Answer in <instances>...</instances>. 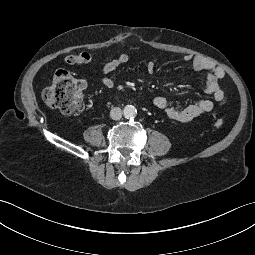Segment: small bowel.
<instances>
[{
  "instance_id": "obj_1",
  "label": "small bowel",
  "mask_w": 255,
  "mask_h": 255,
  "mask_svg": "<svg viewBox=\"0 0 255 255\" xmlns=\"http://www.w3.org/2000/svg\"><path fill=\"white\" fill-rule=\"evenodd\" d=\"M129 59V53L123 52L118 57L106 62L101 69V84L106 88H114L116 80L109 77L108 74L126 64ZM90 61L91 55L87 52L68 55L64 59L66 65L87 64ZM183 61L189 63L194 70L206 73L205 92L211 95L218 104H223L226 100V92L219 85V81L225 76L224 69L198 55L186 54L183 56ZM146 70L151 75L156 74L157 67L153 60L147 62ZM153 104L157 109L162 110L169 120L178 122L191 121L204 113L210 112L214 108V102L210 99H199L186 107L180 108L172 106L165 97L156 96Z\"/></svg>"
}]
</instances>
